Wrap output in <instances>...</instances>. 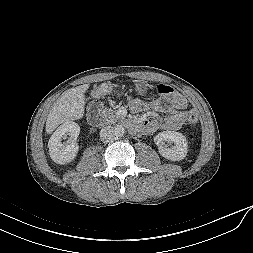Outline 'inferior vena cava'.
<instances>
[{
    "instance_id": "inferior-vena-cava-1",
    "label": "inferior vena cava",
    "mask_w": 253,
    "mask_h": 253,
    "mask_svg": "<svg viewBox=\"0 0 253 253\" xmlns=\"http://www.w3.org/2000/svg\"><path fill=\"white\" fill-rule=\"evenodd\" d=\"M114 130L110 126H106L100 131V138L103 142H111L114 140Z\"/></svg>"
}]
</instances>
